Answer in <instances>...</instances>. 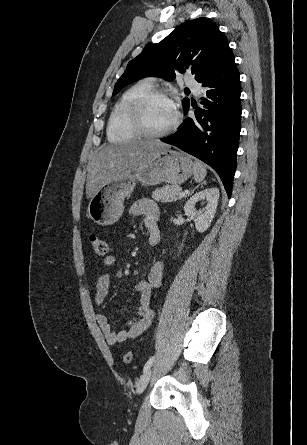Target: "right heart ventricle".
<instances>
[{
	"instance_id": "obj_1",
	"label": "right heart ventricle",
	"mask_w": 307,
	"mask_h": 445,
	"mask_svg": "<svg viewBox=\"0 0 307 445\" xmlns=\"http://www.w3.org/2000/svg\"><path fill=\"white\" fill-rule=\"evenodd\" d=\"M151 90V85L141 82L130 88L115 104L108 124L110 140H140L139 131L133 118V109L137 101Z\"/></svg>"
}]
</instances>
